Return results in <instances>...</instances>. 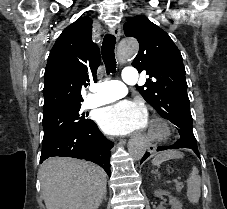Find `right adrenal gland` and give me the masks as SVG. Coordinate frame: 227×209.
I'll return each mask as SVG.
<instances>
[{"label":"right adrenal gland","instance_id":"1","mask_svg":"<svg viewBox=\"0 0 227 209\" xmlns=\"http://www.w3.org/2000/svg\"><path fill=\"white\" fill-rule=\"evenodd\" d=\"M103 199H104V201H107L106 195H104ZM103 199H102V201H103ZM102 201H101V203H102Z\"/></svg>","mask_w":227,"mask_h":209}]
</instances>
